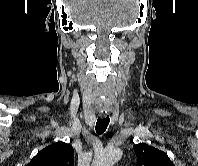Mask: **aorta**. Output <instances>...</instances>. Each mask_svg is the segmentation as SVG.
I'll return each mask as SVG.
<instances>
[{
	"instance_id": "aorta-1",
	"label": "aorta",
	"mask_w": 198,
	"mask_h": 166,
	"mask_svg": "<svg viewBox=\"0 0 198 166\" xmlns=\"http://www.w3.org/2000/svg\"><path fill=\"white\" fill-rule=\"evenodd\" d=\"M121 156L122 152L120 149H105L94 158L92 166H113Z\"/></svg>"
}]
</instances>
